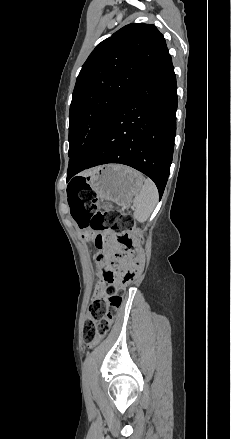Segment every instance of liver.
Wrapping results in <instances>:
<instances>
[{"instance_id": "1", "label": "liver", "mask_w": 231, "mask_h": 439, "mask_svg": "<svg viewBox=\"0 0 231 439\" xmlns=\"http://www.w3.org/2000/svg\"><path fill=\"white\" fill-rule=\"evenodd\" d=\"M96 169H97V168H95V169H93V170H90V171L86 172V175H90V174H91L92 172H94Z\"/></svg>"}]
</instances>
